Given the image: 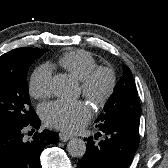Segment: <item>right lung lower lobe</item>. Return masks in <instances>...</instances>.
I'll use <instances>...</instances> for the list:
<instances>
[{"instance_id":"1","label":"right lung lower lobe","mask_w":168,"mask_h":168,"mask_svg":"<svg viewBox=\"0 0 168 168\" xmlns=\"http://www.w3.org/2000/svg\"><path fill=\"white\" fill-rule=\"evenodd\" d=\"M26 126L39 129V117L29 123L0 124V168H40L39 156L44 147L59 140L55 132L44 130L35 133L31 141H25L23 129Z\"/></svg>"}]
</instances>
